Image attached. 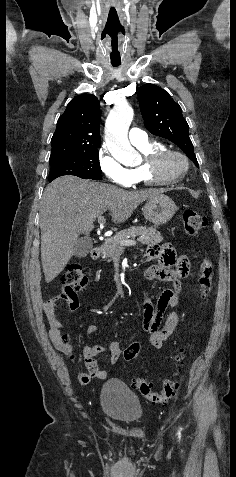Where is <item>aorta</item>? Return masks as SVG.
I'll return each instance as SVG.
<instances>
[{"mask_svg":"<svg viewBox=\"0 0 236 477\" xmlns=\"http://www.w3.org/2000/svg\"><path fill=\"white\" fill-rule=\"evenodd\" d=\"M134 116L127 104L116 105L105 123V140L111 153L121 162L127 163L137 157L136 150L128 140V129Z\"/></svg>","mask_w":236,"mask_h":477,"instance_id":"1","label":"aorta"}]
</instances>
